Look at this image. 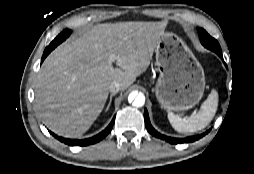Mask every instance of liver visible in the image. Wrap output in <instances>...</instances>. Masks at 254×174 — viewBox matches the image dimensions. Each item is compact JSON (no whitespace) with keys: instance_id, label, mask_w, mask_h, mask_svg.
<instances>
[{"instance_id":"liver-1","label":"liver","mask_w":254,"mask_h":174,"mask_svg":"<svg viewBox=\"0 0 254 174\" xmlns=\"http://www.w3.org/2000/svg\"><path fill=\"white\" fill-rule=\"evenodd\" d=\"M166 26L103 23L58 46L37 75L35 106L43 123L60 136H82L102 112L110 84L118 81L124 91L146 71Z\"/></svg>"}]
</instances>
